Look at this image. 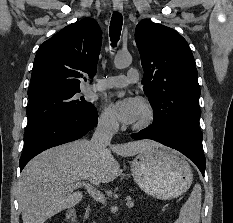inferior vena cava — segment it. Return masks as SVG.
<instances>
[{
	"label": "inferior vena cava",
	"instance_id": "inferior-vena-cava-1",
	"mask_svg": "<svg viewBox=\"0 0 233 223\" xmlns=\"http://www.w3.org/2000/svg\"><path fill=\"white\" fill-rule=\"evenodd\" d=\"M117 119H112V117H99L98 125L92 135L91 147L93 151H104L103 147L105 145H110V141L118 129Z\"/></svg>",
	"mask_w": 233,
	"mask_h": 223
}]
</instances>
